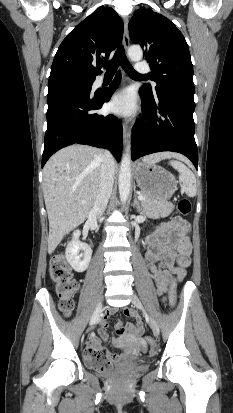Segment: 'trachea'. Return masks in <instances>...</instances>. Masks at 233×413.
Returning <instances> with one entry per match:
<instances>
[{
	"instance_id": "3493384b",
	"label": "trachea",
	"mask_w": 233,
	"mask_h": 413,
	"mask_svg": "<svg viewBox=\"0 0 233 413\" xmlns=\"http://www.w3.org/2000/svg\"><path fill=\"white\" fill-rule=\"evenodd\" d=\"M119 65H121L124 71L131 77H138V78L144 77L143 75L136 72L135 69L132 67V65L129 63V61L126 58L123 46H120L117 49L114 57L110 61L103 63V66L107 70L106 74H114Z\"/></svg>"
}]
</instances>
